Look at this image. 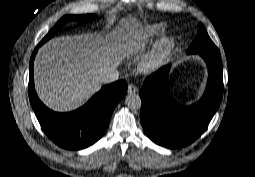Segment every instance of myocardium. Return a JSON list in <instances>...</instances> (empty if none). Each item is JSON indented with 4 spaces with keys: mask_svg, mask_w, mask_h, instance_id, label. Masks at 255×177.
<instances>
[{
    "mask_svg": "<svg viewBox=\"0 0 255 177\" xmlns=\"http://www.w3.org/2000/svg\"><path fill=\"white\" fill-rule=\"evenodd\" d=\"M174 48L171 39H164L148 52L139 62L138 70L140 73L148 74L156 71L169 56Z\"/></svg>",
    "mask_w": 255,
    "mask_h": 177,
    "instance_id": "f54148a6",
    "label": "myocardium"
}]
</instances>
